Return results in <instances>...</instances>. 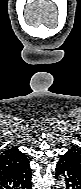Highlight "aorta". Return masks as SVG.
Listing matches in <instances>:
<instances>
[{"mask_svg":"<svg viewBox=\"0 0 81 189\" xmlns=\"http://www.w3.org/2000/svg\"><path fill=\"white\" fill-rule=\"evenodd\" d=\"M61 185H62V181H59L57 184V187L59 188V187H61Z\"/></svg>","mask_w":81,"mask_h":189,"instance_id":"obj_1","label":"aorta"}]
</instances>
